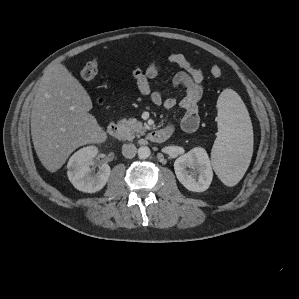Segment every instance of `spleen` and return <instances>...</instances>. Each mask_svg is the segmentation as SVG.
<instances>
[{"label": "spleen", "mask_w": 299, "mask_h": 299, "mask_svg": "<svg viewBox=\"0 0 299 299\" xmlns=\"http://www.w3.org/2000/svg\"><path fill=\"white\" fill-rule=\"evenodd\" d=\"M218 136L211 151L213 168L220 180L235 186L244 176L253 152V130L240 96L225 89L217 101Z\"/></svg>", "instance_id": "3e777b00"}]
</instances>
